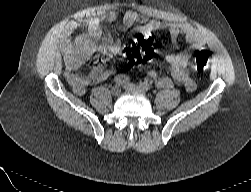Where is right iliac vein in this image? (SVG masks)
Segmentation results:
<instances>
[{
  "label": "right iliac vein",
  "instance_id": "right-iliac-vein-1",
  "mask_svg": "<svg viewBox=\"0 0 251 192\" xmlns=\"http://www.w3.org/2000/svg\"><path fill=\"white\" fill-rule=\"evenodd\" d=\"M121 93V89L119 86H114L112 89H111V94L113 96H119Z\"/></svg>",
  "mask_w": 251,
  "mask_h": 192
}]
</instances>
